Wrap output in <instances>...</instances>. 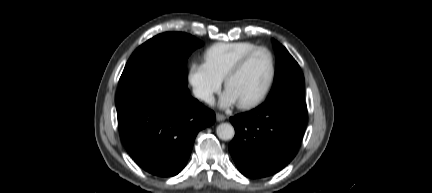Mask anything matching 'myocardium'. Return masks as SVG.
Wrapping results in <instances>:
<instances>
[{"instance_id":"1","label":"myocardium","mask_w":432,"mask_h":193,"mask_svg":"<svg viewBox=\"0 0 432 193\" xmlns=\"http://www.w3.org/2000/svg\"><path fill=\"white\" fill-rule=\"evenodd\" d=\"M259 51H265L268 53L269 57H270V62H271V72H270V76L267 82L266 87L264 88V90L260 93V95H258L256 98L250 100V101H246V102H242V103H238V107L241 109H251L254 108L256 106H258L259 104H261L269 95L275 78H276V72H277V67H276V58L275 55L273 53V51L267 47V46H256L255 48H253L252 50H250L248 53H246L241 59H239L233 66L232 68L228 71L225 79H224V86L225 89L228 90L229 84L231 82V80L243 69V67L247 64V62L252 58V56L254 54H256Z\"/></svg>"}]
</instances>
